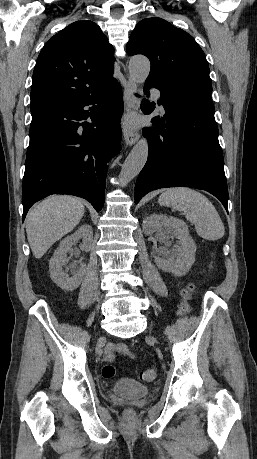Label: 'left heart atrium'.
Returning <instances> with one entry per match:
<instances>
[{
	"mask_svg": "<svg viewBox=\"0 0 257 459\" xmlns=\"http://www.w3.org/2000/svg\"><path fill=\"white\" fill-rule=\"evenodd\" d=\"M133 125H134V123H133L132 121L127 122V126H128L129 128H131Z\"/></svg>",
	"mask_w": 257,
	"mask_h": 459,
	"instance_id": "left-heart-atrium-1",
	"label": "left heart atrium"
}]
</instances>
